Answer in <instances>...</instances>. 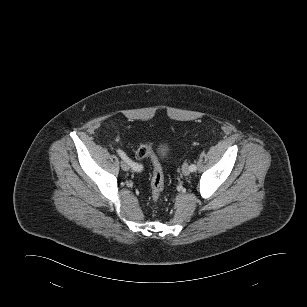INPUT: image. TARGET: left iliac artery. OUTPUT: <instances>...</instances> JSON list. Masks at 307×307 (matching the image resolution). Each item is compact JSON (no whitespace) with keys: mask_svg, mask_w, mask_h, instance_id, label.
<instances>
[{"mask_svg":"<svg viewBox=\"0 0 307 307\" xmlns=\"http://www.w3.org/2000/svg\"><path fill=\"white\" fill-rule=\"evenodd\" d=\"M196 169H197V167H196L195 164H191V165H190V170H191V172L196 171Z\"/></svg>","mask_w":307,"mask_h":307,"instance_id":"44dca946","label":"left iliac artery"}]
</instances>
